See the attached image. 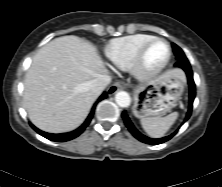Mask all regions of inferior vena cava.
Listing matches in <instances>:
<instances>
[{"label":"inferior vena cava","mask_w":222,"mask_h":187,"mask_svg":"<svg viewBox=\"0 0 222 187\" xmlns=\"http://www.w3.org/2000/svg\"><path fill=\"white\" fill-rule=\"evenodd\" d=\"M111 82V77L107 74L99 75L98 78L92 80L90 87L91 90L96 93L100 94Z\"/></svg>","instance_id":"inferior-vena-cava-1"}]
</instances>
